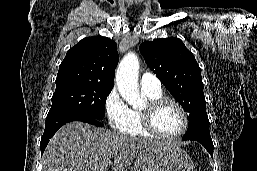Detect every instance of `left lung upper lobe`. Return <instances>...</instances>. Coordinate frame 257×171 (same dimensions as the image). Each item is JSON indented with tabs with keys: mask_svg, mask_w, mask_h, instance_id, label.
Returning a JSON list of instances; mask_svg holds the SVG:
<instances>
[{
	"mask_svg": "<svg viewBox=\"0 0 257 171\" xmlns=\"http://www.w3.org/2000/svg\"><path fill=\"white\" fill-rule=\"evenodd\" d=\"M140 51L148 67L189 114L182 139H211L201 70L194 55L178 38L144 42Z\"/></svg>",
	"mask_w": 257,
	"mask_h": 171,
	"instance_id": "1",
	"label": "left lung upper lobe"
}]
</instances>
